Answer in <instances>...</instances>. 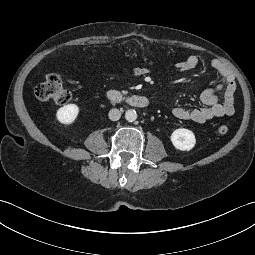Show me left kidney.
I'll return each mask as SVG.
<instances>
[{
  "mask_svg": "<svg viewBox=\"0 0 255 255\" xmlns=\"http://www.w3.org/2000/svg\"><path fill=\"white\" fill-rule=\"evenodd\" d=\"M173 146L181 151H190L196 144L194 133L185 128H179L173 131L170 137Z\"/></svg>",
  "mask_w": 255,
  "mask_h": 255,
  "instance_id": "1",
  "label": "left kidney"
}]
</instances>
